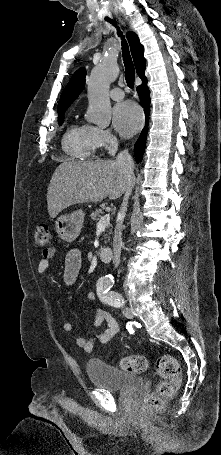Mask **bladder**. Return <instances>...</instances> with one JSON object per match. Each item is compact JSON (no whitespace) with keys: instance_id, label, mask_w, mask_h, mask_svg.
<instances>
[{"instance_id":"1","label":"bladder","mask_w":221,"mask_h":455,"mask_svg":"<svg viewBox=\"0 0 221 455\" xmlns=\"http://www.w3.org/2000/svg\"><path fill=\"white\" fill-rule=\"evenodd\" d=\"M86 371L92 384L113 392H129L143 387L144 379L112 365L89 360Z\"/></svg>"}]
</instances>
